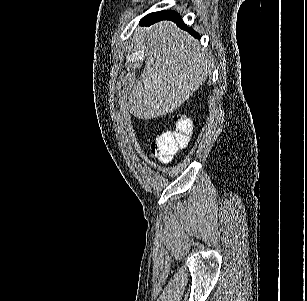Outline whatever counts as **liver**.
Masks as SVG:
<instances>
[{
  "label": "liver",
  "instance_id": "obj_1",
  "mask_svg": "<svg viewBox=\"0 0 307 301\" xmlns=\"http://www.w3.org/2000/svg\"><path fill=\"white\" fill-rule=\"evenodd\" d=\"M145 44V66L128 96L127 108L138 118H156L173 112L207 80L214 64L199 40L171 20L149 28L138 26Z\"/></svg>",
  "mask_w": 307,
  "mask_h": 301
}]
</instances>
